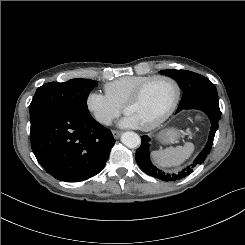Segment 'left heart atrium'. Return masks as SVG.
Instances as JSON below:
<instances>
[{"instance_id": "39dd6f15", "label": "left heart atrium", "mask_w": 245, "mask_h": 245, "mask_svg": "<svg viewBox=\"0 0 245 245\" xmlns=\"http://www.w3.org/2000/svg\"><path fill=\"white\" fill-rule=\"evenodd\" d=\"M120 126L128 128L141 127L137 119L129 114H126V116L120 121Z\"/></svg>"}]
</instances>
